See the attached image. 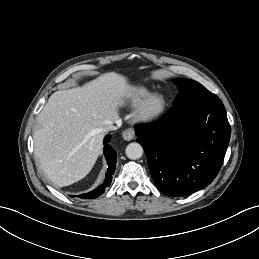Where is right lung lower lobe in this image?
<instances>
[{
	"label": "right lung lower lobe",
	"instance_id": "98d812e1",
	"mask_svg": "<svg viewBox=\"0 0 259 259\" xmlns=\"http://www.w3.org/2000/svg\"><path fill=\"white\" fill-rule=\"evenodd\" d=\"M111 139V135H107L104 138V154L106 157V160L108 162V171L106 173V179L103 185H100L97 189L93 190L90 193L87 194H82L79 197L80 198H85V199H91V198H96L98 196H100L102 193H104L105 191V187H108L111 183L112 180V174L115 171V167H116V162H117V158H116V152L111 148L110 145H108L109 141ZM73 197V196H71Z\"/></svg>",
	"mask_w": 259,
	"mask_h": 259
}]
</instances>
